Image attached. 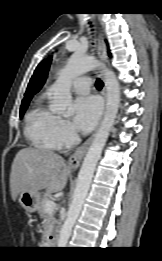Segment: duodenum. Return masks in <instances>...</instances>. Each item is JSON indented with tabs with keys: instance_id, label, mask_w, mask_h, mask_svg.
<instances>
[{
	"instance_id": "410a0bca",
	"label": "duodenum",
	"mask_w": 162,
	"mask_h": 261,
	"mask_svg": "<svg viewBox=\"0 0 162 261\" xmlns=\"http://www.w3.org/2000/svg\"><path fill=\"white\" fill-rule=\"evenodd\" d=\"M48 245H55L56 243V236L54 234H49L48 239H47Z\"/></svg>"
}]
</instances>
